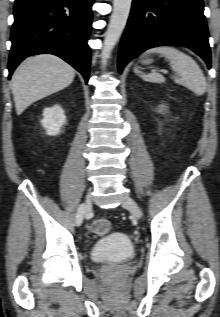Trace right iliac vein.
Instances as JSON below:
<instances>
[{"mask_svg":"<svg viewBox=\"0 0 220 317\" xmlns=\"http://www.w3.org/2000/svg\"><path fill=\"white\" fill-rule=\"evenodd\" d=\"M91 209H92V196L89 190L86 196L85 204H84V213L87 214Z\"/></svg>","mask_w":220,"mask_h":317,"instance_id":"1","label":"right iliac vein"}]
</instances>
